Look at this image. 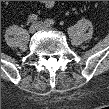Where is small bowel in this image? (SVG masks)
I'll list each match as a JSON object with an SVG mask.
<instances>
[{"mask_svg":"<svg viewBox=\"0 0 109 109\" xmlns=\"http://www.w3.org/2000/svg\"><path fill=\"white\" fill-rule=\"evenodd\" d=\"M54 1H43V5L47 8H52L54 6Z\"/></svg>","mask_w":109,"mask_h":109,"instance_id":"small-bowel-1","label":"small bowel"}]
</instances>
